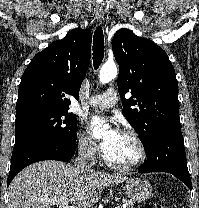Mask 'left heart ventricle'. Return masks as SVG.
<instances>
[{
	"label": "left heart ventricle",
	"mask_w": 199,
	"mask_h": 208,
	"mask_svg": "<svg viewBox=\"0 0 199 208\" xmlns=\"http://www.w3.org/2000/svg\"><path fill=\"white\" fill-rule=\"evenodd\" d=\"M105 154L115 162L131 163L138 158L139 149L129 136L119 133L114 138L108 150L105 151Z\"/></svg>",
	"instance_id": "b2bd125f"
}]
</instances>
